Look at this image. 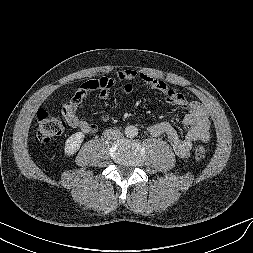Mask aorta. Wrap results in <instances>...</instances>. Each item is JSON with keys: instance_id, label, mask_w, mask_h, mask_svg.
Wrapping results in <instances>:
<instances>
[{"instance_id": "obj_1", "label": "aorta", "mask_w": 253, "mask_h": 253, "mask_svg": "<svg viewBox=\"0 0 253 253\" xmlns=\"http://www.w3.org/2000/svg\"><path fill=\"white\" fill-rule=\"evenodd\" d=\"M125 135L129 138H134L137 136L138 134V129L137 127L133 126V125H130V126H127L125 128Z\"/></svg>"}]
</instances>
